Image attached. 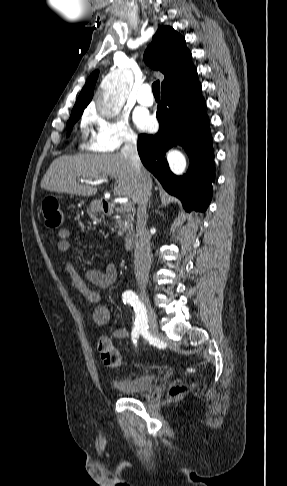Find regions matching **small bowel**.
<instances>
[{
	"label": "small bowel",
	"instance_id": "small-bowel-1",
	"mask_svg": "<svg viewBox=\"0 0 287 486\" xmlns=\"http://www.w3.org/2000/svg\"><path fill=\"white\" fill-rule=\"evenodd\" d=\"M59 240L57 249L65 257V269L68 272L72 285L91 303L98 304L101 300L100 294L89 287L88 282L100 288L112 285L117 278L115 265L107 264L103 271L88 270L82 277L75 269L68 256L71 252V232L62 228L58 231ZM94 322L101 327H109L111 322V312L104 305H97L93 311ZM113 335L117 338H125L127 333L124 330H114Z\"/></svg>",
	"mask_w": 287,
	"mask_h": 486
}]
</instances>
